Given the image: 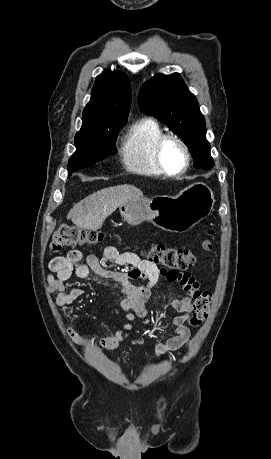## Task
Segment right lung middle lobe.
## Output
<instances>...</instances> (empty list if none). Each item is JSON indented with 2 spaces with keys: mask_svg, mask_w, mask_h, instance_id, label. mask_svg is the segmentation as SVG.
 <instances>
[{
  "mask_svg": "<svg viewBox=\"0 0 271 459\" xmlns=\"http://www.w3.org/2000/svg\"><path fill=\"white\" fill-rule=\"evenodd\" d=\"M126 119H93L83 121L75 135L76 152L69 159L68 176L73 171L93 165L115 154V141Z\"/></svg>",
  "mask_w": 271,
  "mask_h": 459,
  "instance_id": "1",
  "label": "right lung middle lobe"
}]
</instances>
